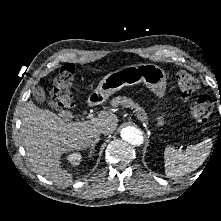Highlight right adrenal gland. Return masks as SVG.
<instances>
[{"label":"right adrenal gland","instance_id":"1","mask_svg":"<svg viewBox=\"0 0 221 221\" xmlns=\"http://www.w3.org/2000/svg\"><path fill=\"white\" fill-rule=\"evenodd\" d=\"M100 140L99 137H97L94 141H92V143L88 146L90 148L89 150V155L88 157H91L95 151V146L98 143V141Z\"/></svg>","mask_w":221,"mask_h":221}]
</instances>
